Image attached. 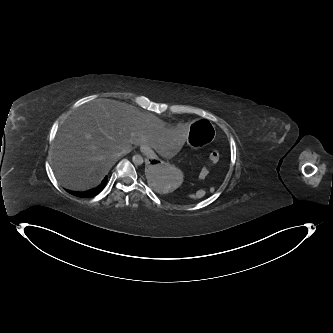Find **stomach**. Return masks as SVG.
<instances>
[{
  "mask_svg": "<svg viewBox=\"0 0 333 333\" xmlns=\"http://www.w3.org/2000/svg\"><path fill=\"white\" fill-rule=\"evenodd\" d=\"M214 129V126L206 119L194 122L187 139L188 146L196 149L212 143L216 136ZM146 148V144H141V151L147 154ZM147 155L150 158L149 166L145 171L148 186L159 193H168L178 188L182 182V171L173 165L159 162V159L151 153Z\"/></svg>",
  "mask_w": 333,
  "mask_h": 333,
  "instance_id": "0dacf381",
  "label": "stomach"
}]
</instances>
